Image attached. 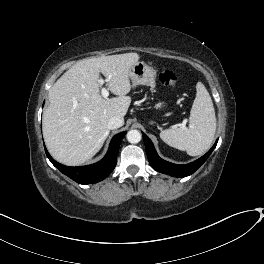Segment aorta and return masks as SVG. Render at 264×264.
Returning a JSON list of instances; mask_svg holds the SVG:
<instances>
[{"instance_id": "obj_1", "label": "aorta", "mask_w": 264, "mask_h": 264, "mask_svg": "<svg viewBox=\"0 0 264 264\" xmlns=\"http://www.w3.org/2000/svg\"><path fill=\"white\" fill-rule=\"evenodd\" d=\"M126 137L129 143L135 144L140 142L142 135L138 130H130Z\"/></svg>"}]
</instances>
